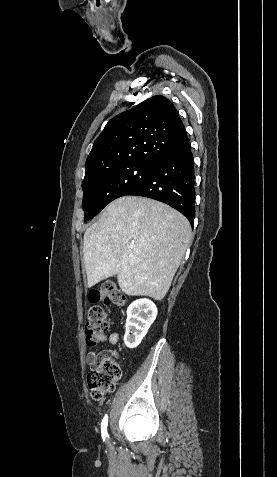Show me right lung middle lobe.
Here are the masks:
<instances>
[{
    "label": "right lung middle lobe",
    "mask_w": 277,
    "mask_h": 477,
    "mask_svg": "<svg viewBox=\"0 0 277 477\" xmlns=\"http://www.w3.org/2000/svg\"><path fill=\"white\" fill-rule=\"evenodd\" d=\"M154 165L131 162L105 170L86 172L82 183L85 221L92 219L110 202L125 196L140 184Z\"/></svg>",
    "instance_id": "dd1d6c3e"
}]
</instances>
